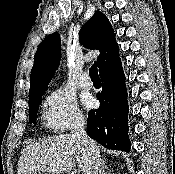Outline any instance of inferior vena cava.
<instances>
[{
	"mask_svg": "<svg viewBox=\"0 0 175 174\" xmlns=\"http://www.w3.org/2000/svg\"><path fill=\"white\" fill-rule=\"evenodd\" d=\"M85 125L83 118L77 119L72 128V134L84 144L90 155L91 167L87 174H101L100 151L96 143L87 136Z\"/></svg>",
	"mask_w": 175,
	"mask_h": 174,
	"instance_id": "602c4592",
	"label": "inferior vena cava"
}]
</instances>
